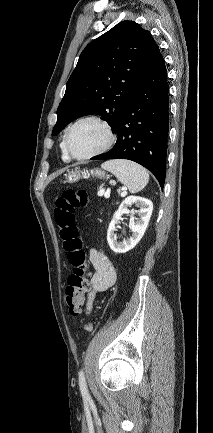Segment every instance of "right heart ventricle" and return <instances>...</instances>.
I'll return each mask as SVG.
<instances>
[{"label":"right heart ventricle","instance_id":"e07e8e85","mask_svg":"<svg viewBox=\"0 0 213 433\" xmlns=\"http://www.w3.org/2000/svg\"><path fill=\"white\" fill-rule=\"evenodd\" d=\"M60 150H61V158L64 161H69L70 157L68 156L66 150H65V146H64V137L62 138V141L60 143Z\"/></svg>","mask_w":213,"mask_h":433}]
</instances>
